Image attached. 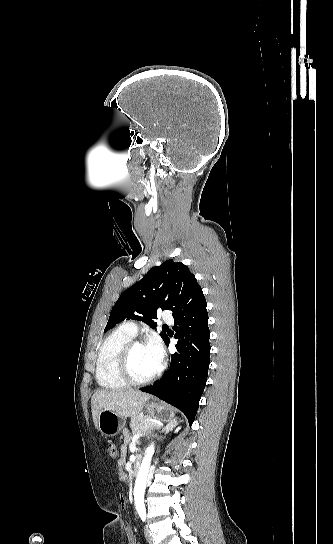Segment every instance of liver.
<instances>
[{
    "label": "liver",
    "mask_w": 333,
    "mask_h": 544,
    "mask_svg": "<svg viewBox=\"0 0 333 544\" xmlns=\"http://www.w3.org/2000/svg\"><path fill=\"white\" fill-rule=\"evenodd\" d=\"M150 395L137 390H98L91 399L92 417L98 429V418L102 410L116 412L120 417L135 418L142 411Z\"/></svg>",
    "instance_id": "obj_1"
}]
</instances>
